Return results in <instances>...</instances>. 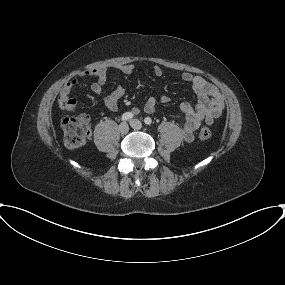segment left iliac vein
Segmentation results:
<instances>
[{"label": "left iliac vein", "instance_id": "1", "mask_svg": "<svg viewBox=\"0 0 285 285\" xmlns=\"http://www.w3.org/2000/svg\"><path fill=\"white\" fill-rule=\"evenodd\" d=\"M130 125L132 128L136 129V130H139L142 128V123L137 120V119H133L130 121Z\"/></svg>", "mask_w": 285, "mask_h": 285}]
</instances>
